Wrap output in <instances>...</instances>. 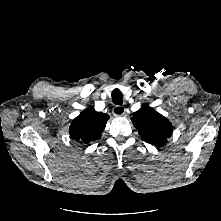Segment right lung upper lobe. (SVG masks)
Here are the masks:
<instances>
[{
	"mask_svg": "<svg viewBox=\"0 0 221 221\" xmlns=\"http://www.w3.org/2000/svg\"><path fill=\"white\" fill-rule=\"evenodd\" d=\"M108 119V114L97 112L90 106L72 121L70 135L75 140L88 144L101 137Z\"/></svg>",
	"mask_w": 221,
	"mask_h": 221,
	"instance_id": "obj_1",
	"label": "right lung upper lobe"
}]
</instances>
